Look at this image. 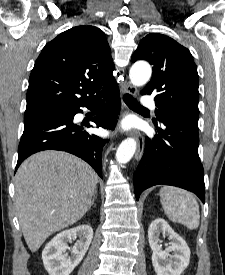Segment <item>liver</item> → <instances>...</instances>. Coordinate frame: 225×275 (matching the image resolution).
Masks as SVG:
<instances>
[{"label": "liver", "mask_w": 225, "mask_h": 275, "mask_svg": "<svg viewBox=\"0 0 225 275\" xmlns=\"http://www.w3.org/2000/svg\"><path fill=\"white\" fill-rule=\"evenodd\" d=\"M98 176L86 162L62 151L27 158L15 176L19 223L31 252L88 211Z\"/></svg>", "instance_id": "1"}]
</instances>
